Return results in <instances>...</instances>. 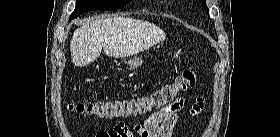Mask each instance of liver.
<instances>
[{
  "mask_svg": "<svg viewBox=\"0 0 280 137\" xmlns=\"http://www.w3.org/2000/svg\"><path fill=\"white\" fill-rule=\"evenodd\" d=\"M165 38V32L148 21L125 17L87 21L74 31L70 41L72 62L86 66L100 56L102 49L114 58L135 55Z\"/></svg>",
  "mask_w": 280,
  "mask_h": 137,
  "instance_id": "obj_1",
  "label": "liver"
}]
</instances>
